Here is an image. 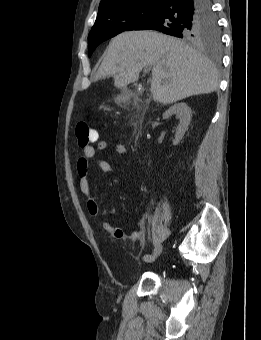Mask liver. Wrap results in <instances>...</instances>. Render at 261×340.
<instances>
[{
	"label": "liver",
	"instance_id": "6515ba94",
	"mask_svg": "<svg viewBox=\"0 0 261 340\" xmlns=\"http://www.w3.org/2000/svg\"><path fill=\"white\" fill-rule=\"evenodd\" d=\"M146 66L152 68L153 99L162 104L218 88V73L208 58L183 41L154 31H129L114 37L96 78L113 76L117 88H126Z\"/></svg>",
	"mask_w": 261,
	"mask_h": 340
}]
</instances>
